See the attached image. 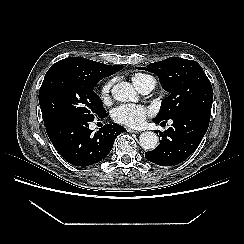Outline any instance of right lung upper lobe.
Listing matches in <instances>:
<instances>
[{
  "label": "right lung upper lobe",
  "mask_w": 244,
  "mask_h": 244,
  "mask_svg": "<svg viewBox=\"0 0 244 244\" xmlns=\"http://www.w3.org/2000/svg\"><path fill=\"white\" fill-rule=\"evenodd\" d=\"M50 68H61L86 79L100 81L121 70L123 66H110L82 57H71L56 62Z\"/></svg>",
  "instance_id": "cb5924a9"
}]
</instances>
